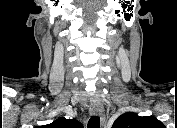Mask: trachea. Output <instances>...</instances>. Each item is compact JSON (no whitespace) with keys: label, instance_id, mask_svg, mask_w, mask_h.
Returning a JSON list of instances; mask_svg holds the SVG:
<instances>
[{"label":"trachea","instance_id":"1","mask_svg":"<svg viewBox=\"0 0 177 128\" xmlns=\"http://www.w3.org/2000/svg\"><path fill=\"white\" fill-rule=\"evenodd\" d=\"M100 126V118L98 116H92L89 121L87 128H99Z\"/></svg>","mask_w":177,"mask_h":128}]
</instances>
